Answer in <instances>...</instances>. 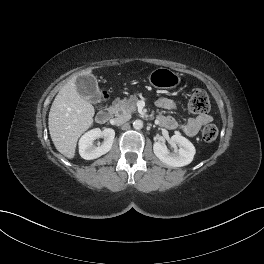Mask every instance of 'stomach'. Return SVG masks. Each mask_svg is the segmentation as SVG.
<instances>
[{
	"mask_svg": "<svg viewBox=\"0 0 264 264\" xmlns=\"http://www.w3.org/2000/svg\"><path fill=\"white\" fill-rule=\"evenodd\" d=\"M148 80L155 88L172 89L180 84L181 77L178 73L168 68L159 67L149 74Z\"/></svg>",
	"mask_w": 264,
	"mask_h": 264,
	"instance_id": "0dacf381",
	"label": "stomach"
}]
</instances>
